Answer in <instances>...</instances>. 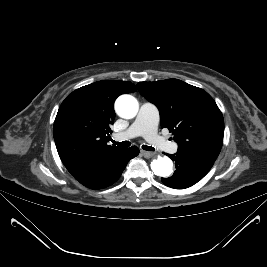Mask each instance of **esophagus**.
Returning <instances> with one entry per match:
<instances>
[{"mask_svg": "<svg viewBox=\"0 0 267 267\" xmlns=\"http://www.w3.org/2000/svg\"><path fill=\"white\" fill-rule=\"evenodd\" d=\"M141 153L145 158H151L155 155L153 152H147V151H142Z\"/></svg>", "mask_w": 267, "mask_h": 267, "instance_id": "esophagus-1", "label": "esophagus"}]
</instances>
